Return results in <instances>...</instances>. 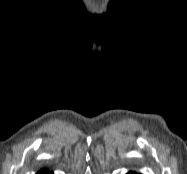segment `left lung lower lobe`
Wrapping results in <instances>:
<instances>
[{
  "instance_id": "obj_1",
  "label": "left lung lower lobe",
  "mask_w": 187,
  "mask_h": 174,
  "mask_svg": "<svg viewBox=\"0 0 187 174\" xmlns=\"http://www.w3.org/2000/svg\"><path fill=\"white\" fill-rule=\"evenodd\" d=\"M128 174H137V173H135V172H129Z\"/></svg>"
}]
</instances>
